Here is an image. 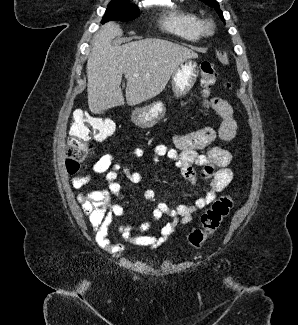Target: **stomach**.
I'll return each mask as SVG.
<instances>
[{"instance_id":"obj_1","label":"stomach","mask_w":298,"mask_h":325,"mask_svg":"<svg viewBox=\"0 0 298 325\" xmlns=\"http://www.w3.org/2000/svg\"><path fill=\"white\" fill-rule=\"evenodd\" d=\"M198 74L199 68L195 60H191V58L182 60L171 76L173 96L175 98H183L185 94H188L192 90ZM166 110L165 102H162V100H154L151 104H146L142 108L133 110L131 118L137 126L150 128V126L157 124L158 120L164 118Z\"/></svg>"}]
</instances>
